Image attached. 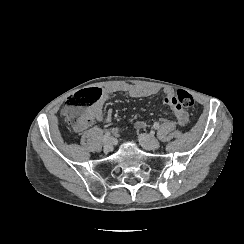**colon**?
I'll return each mask as SVG.
<instances>
[{"mask_svg":"<svg viewBox=\"0 0 244 244\" xmlns=\"http://www.w3.org/2000/svg\"><path fill=\"white\" fill-rule=\"evenodd\" d=\"M171 104L187 108L192 107L194 105V98L188 91L179 89L171 98ZM65 113L68 123L75 129L83 128L91 121L86 113V109L80 105L72 104L70 100L65 108Z\"/></svg>","mask_w":244,"mask_h":244,"instance_id":"colon-1","label":"colon"}]
</instances>
